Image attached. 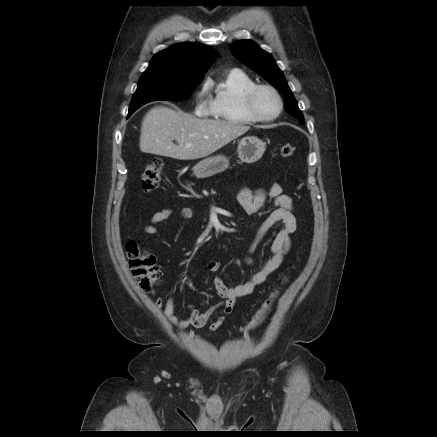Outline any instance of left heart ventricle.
<instances>
[{"mask_svg":"<svg viewBox=\"0 0 437 437\" xmlns=\"http://www.w3.org/2000/svg\"><path fill=\"white\" fill-rule=\"evenodd\" d=\"M255 107L262 116H272L278 110V102L272 92L261 90L255 99Z\"/></svg>","mask_w":437,"mask_h":437,"instance_id":"b2bd125f","label":"left heart ventricle"}]
</instances>
